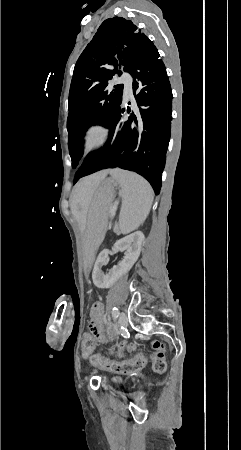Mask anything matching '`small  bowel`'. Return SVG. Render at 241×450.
<instances>
[{"mask_svg":"<svg viewBox=\"0 0 241 450\" xmlns=\"http://www.w3.org/2000/svg\"><path fill=\"white\" fill-rule=\"evenodd\" d=\"M92 316H89L88 323H89V329L91 330V333L95 334V348L97 346V342L104 340V329L103 327V311L102 306L99 303L94 304ZM137 348V345L132 342L127 341H121L118 345L116 350L111 349V354H117L119 357H123L126 352H132ZM95 350V349H94ZM115 381H119V378H114Z\"/></svg>","mask_w":241,"mask_h":450,"instance_id":"obj_1","label":"small bowel"}]
</instances>
